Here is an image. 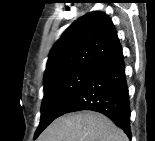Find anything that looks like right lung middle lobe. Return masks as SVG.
<instances>
[{
	"label": "right lung middle lobe",
	"instance_id": "obj_1",
	"mask_svg": "<svg viewBox=\"0 0 155 141\" xmlns=\"http://www.w3.org/2000/svg\"><path fill=\"white\" fill-rule=\"evenodd\" d=\"M94 68H74L44 80V97L41 105L40 124L35 132L36 139L56 118L66 103L93 73Z\"/></svg>",
	"mask_w": 155,
	"mask_h": 141
}]
</instances>
